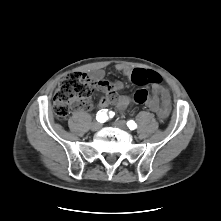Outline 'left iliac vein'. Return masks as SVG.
<instances>
[{"label":"left iliac vein","mask_w":221,"mask_h":221,"mask_svg":"<svg viewBox=\"0 0 221 221\" xmlns=\"http://www.w3.org/2000/svg\"><path fill=\"white\" fill-rule=\"evenodd\" d=\"M113 125H114L115 127L119 128V129H122V130H124V131H128V128H127V126H126L125 121L118 120V121H115V122L113 123Z\"/></svg>","instance_id":"left-iliac-vein-1"}]
</instances>
